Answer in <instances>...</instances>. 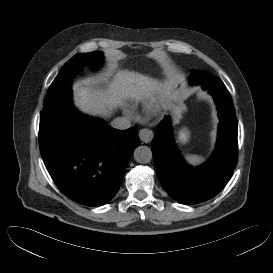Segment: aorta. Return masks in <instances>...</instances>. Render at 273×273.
<instances>
[{
    "mask_svg": "<svg viewBox=\"0 0 273 273\" xmlns=\"http://www.w3.org/2000/svg\"><path fill=\"white\" fill-rule=\"evenodd\" d=\"M133 155L134 159L141 164L149 163L153 158L152 151L147 146H138Z\"/></svg>",
    "mask_w": 273,
    "mask_h": 273,
    "instance_id": "762f6f07",
    "label": "aorta"
}]
</instances>
